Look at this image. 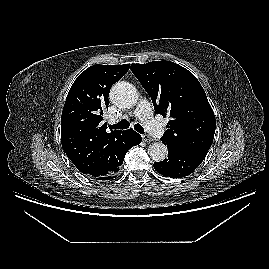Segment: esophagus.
Listing matches in <instances>:
<instances>
[{"label": "esophagus", "mask_w": 269, "mask_h": 269, "mask_svg": "<svg viewBox=\"0 0 269 269\" xmlns=\"http://www.w3.org/2000/svg\"><path fill=\"white\" fill-rule=\"evenodd\" d=\"M142 140L145 141V142H151V141H153V139L149 135H147V134H143L142 135Z\"/></svg>", "instance_id": "obj_1"}]
</instances>
